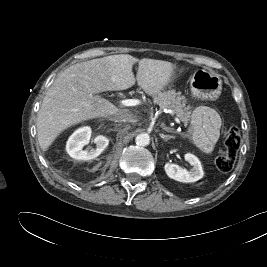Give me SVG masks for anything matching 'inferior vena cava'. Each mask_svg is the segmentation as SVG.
I'll use <instances>...</instances> for the list:
<instances>
[{"label":"inferior vena cava","instance_id":"1","mask_svg":"<svg viewBox=\"0 0 267 267\" xmlns=\"http://www.w3.org/2000/svg\"><path fill=\"white\" fill-rule=\"evenodd\" d=\"M112 120L115 122H137V117L131 112H124L112 117Z\"/></svg>","mask_w":267,"mask_h":267}]
</instances>
